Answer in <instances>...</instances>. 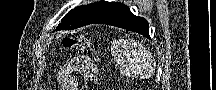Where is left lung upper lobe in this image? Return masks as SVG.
Segmentation results:
<instances>
[{"label":"left lung upper lobe","mask_w":216,"mask_h":90,"mask_svg":"<svg viewBox=\"0 0 216 90\" xmlns=\"http://www.w3.org/2000/svg\"><path fill=\"white\" fill-rule=\"evenodd\" d=\"M122 6L124 5L121 3L107 1L79 6L63 17L56 30H71L92 24Z\"/></svg>","instance_id":"obj_1"}]
</instances>
